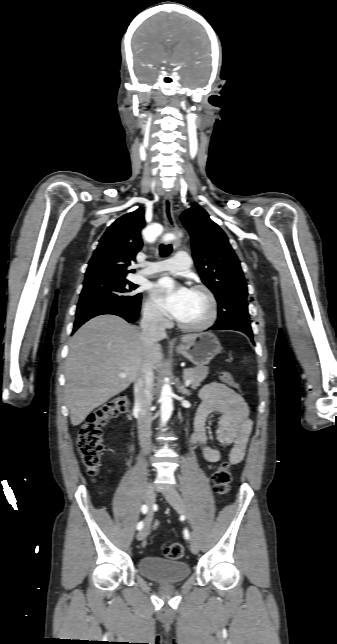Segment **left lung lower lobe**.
Segmentation results:
<instances>
[{
    "instance_id": "left-lung-lower-lobe-1",
    "label": "left lung lower lobe",
    "mask_w": 337,
    "mask_h": 644,
    "mask_svg": "<svg viewBox=\"0 0 337 644\" xmlns=\"http://www.w3.org/2000/svg\"><path fill=\"white\" fill-rule=\"evenodd\" d=\"M209 330H235V329H233V328H231V327H228V326H218V325H214V326H213V327H211ZM248 336L250 337L251 341L253 342V339H252V338H253V335H248Z\"/></svg>"
}]
</instances>
